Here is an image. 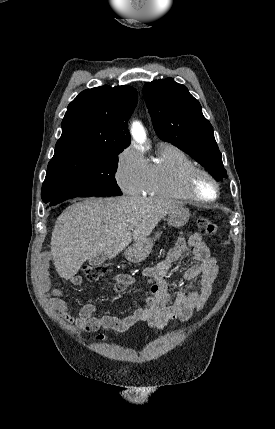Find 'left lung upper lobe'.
<instances>
[{"label":"left lung upper lobe","instance_id":"5c2ea615","mask_svg":"<svg viewBox=\"0 0 275 429\" xmlns=\"http://www.w3.org/2000/svg\"><path fill=\"white\" fill-rule=\"evenodd\" d=\"M143 95L158 137L189 154L217 181L224 180L227 172L213 128L188 89L166 78L146 83Z\"/></svg>","mask_w":275,"mask_h":429}]
</instances>
